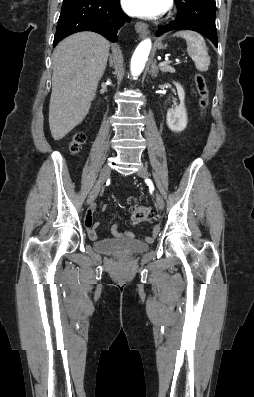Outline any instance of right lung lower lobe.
Returning <instances> with one entry per match:
<instances>
[{"label":"right lung lower lobe","mask_w":254,"mask_h":397,"mask_svg":"<svg viewBox=\"0 0 254 397\" xmlns=\"http://www.w3.org/2000/svg\"><path fill=\"white\" fill-rule=\"evenodd\" d=\"M130 20L119 0H63L53 46L80 31L97 32L116 42L118 30Z\"/></svg>","instance_id":"98d812e1"}]
</instances>
